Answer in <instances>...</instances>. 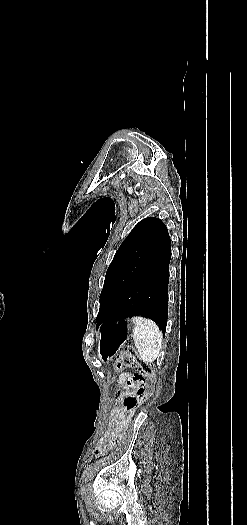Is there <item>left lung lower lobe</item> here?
Instances as JSON below:
<instances>
[{"label": "left lung lower lobe", "mask_w": 247, "mask_h": 525, "mask_svg": "<svg viewBox=\"0 0 247 525\" xmlns=\"http://www.w3.org/2000/svg\"><path fill=\"white\" fill-rule=\"evenodd\" d=\"M170 259V237L167 231L146 269L113 305L102 323L110 324L123 318L143 316L155 321L165 334Z\"/></svg>", "instance_id": "0a47b994"}]
</instances>
